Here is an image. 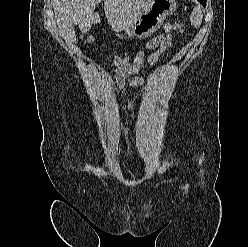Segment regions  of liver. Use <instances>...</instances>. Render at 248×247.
<instances>
[{"label": "liver", "instance_id": "6515ba94", "mask_svg": "<svg viewBox=\"0 0 248 247\" xmlns=\"http://www.w3.org/2000/svg\"><path fill=\"white\" fill-rule=\"evenodd\" d=\"M102 0H52L56 23L60 35L69 43L76 41L74 26L87 32L92 24L99 23L94 13ZM148 0H104L105 16L110 26L124 30L139 16Z\"/></svg>", "mask_w": 248, "mask_h": 247}]
</instances>
